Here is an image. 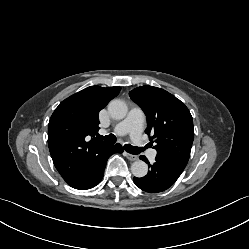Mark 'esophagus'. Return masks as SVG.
Masks as SVG:
<instances>
[{
  "label": "esophagus",
  "instance_id": "1",
  "mask_svg": "<svg viewBox=\"0 0 249 249\" xmlns=\"http://www.w3.org/2000/svg\"><path fill=\"white\" fill-rule=\"evenodd\" d=\"M124 155H125L130 161H135V160L138 159V156L132 155V154H130V153H128V152H124Z\"/></svg>",
  "mask_w": 249,
  "mask_h": 249
}]
</instances>
